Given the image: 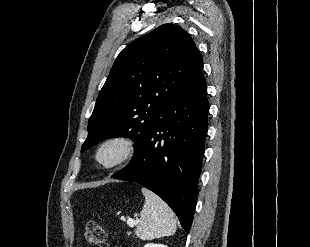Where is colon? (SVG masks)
<instances>
[{"label":"colon","instance_id":"obj_1","mask_svg":"<svg viewBox=\"0 0 310 247\" xmlns=\"http://www.w3.org/2000/svg\"><path fill=\"white\" fill-rule=\"evenodd\" d=\"M85 238L90 244L100 245L105 242L106 235L99 223L89 221L86 225Z\"/></svg>","mask_w":310,"mask_h":247}]
</instances>
